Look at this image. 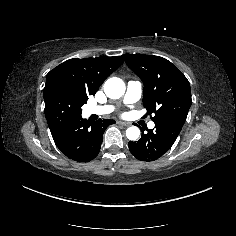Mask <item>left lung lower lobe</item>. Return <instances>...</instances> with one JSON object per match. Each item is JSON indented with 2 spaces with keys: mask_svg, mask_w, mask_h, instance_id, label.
Returning a JSON list of instances; mask_svg holds the SVG:
<instances>
[{
  "mask_svg": "<svg viewBox=\"0 0 236 236\" xmlns=\"http://www.w3.org/2000/svg\"><path fill=\"white\" fill-rule=\"evenodd\" d=\"M183 124L175 120L155 122L137 142L128 143L130 152L141 161H154L164 155L174 144Z\"/></svg>",
  "mask_w": 236,
  "mask_h": 236,
  "instance_id": "obj_1",
  "label": "left lung lower lobe"
}]
</instances>
